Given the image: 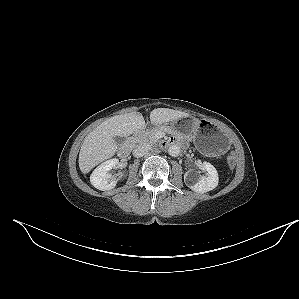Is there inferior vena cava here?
Wrapping results in <instances>:
<instances>
[{
	"label": "inferior vena cava",
	"mask_w": 299,
	"mask_h": 299,
	"mask_svg": "<svg viewBox=\"0 0 299 299\" xmlns=\"http://www.w3.org/2000/svg\"><path fill=\"white\" fill-rule=\"evenodd\" d=\"M150 150H152V147L147 144H141L134 148L133 150V156L136 158L142 157L146 155Z\"/></svg>",
	"instance_id": "602c4592"
}]
</instances>
